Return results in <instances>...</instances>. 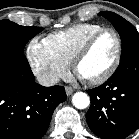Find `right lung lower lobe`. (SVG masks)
Wrapping results in <instances>:
<instances>
[{"instance_id": "98d812e1", "label": "right lung lower lobe", "mask_w": 139, "mask_h": 139, "mask_svg": "<svg viewBox=\"0 0 139 139\" xmlns=\"http://www.w3.org/2000/svg\"><path fill=\"white\" fill-rule=\"evenodd\" d=\"M65 100L64 87L35 82L23 51L0 47V139H41Z\"/></svg>"}]
</instances>
